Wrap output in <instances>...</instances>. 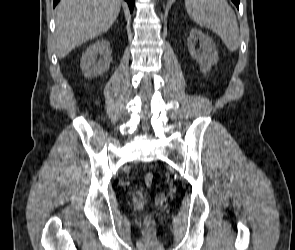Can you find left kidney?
I'll return each mask as SVG.
<instances>
[{
    "label": "left kidney",
    "mask_w": 295,
    "mask_h": 250,
    "mask_svg": "<svg viewBox=\"0 0 295 250\" xmlns=\"http://www.w3.org/2000/svg\"><path fill=\"white\" fill-rule=\"evenodd\" d=\"M198 40L202 44L203 51L201 53L195 50V45ZM188 49L191 56L199 62L202 71L210 70L212 65L218 61L215 43L208 35H205L199 29L194 28L191 30L188 38Z\"/></svg>",
    "instance_id": "left-kidney-1"
}]
</instances>
